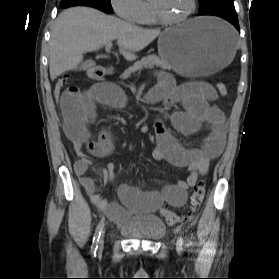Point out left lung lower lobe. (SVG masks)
Segmentation results:
<instances>
[{
    "label": "left lung lower lobe",
    "mask_w": 279,
    "mask_h": 279,
    "mask_svg": "<svg viewBox=\"0 0 279 279\" xmlns=\"http://www.w3.org/2000/svg\"><path fill=\"white\" fill-rule=\"evenodd\" d=\"M198 15H213L221 17L230 22L240 32L237 13L234 4H222L214 6Z\"/></svg>",
    "instance_id": "left-lung-lower-lobe-1"
}]
</instances>
